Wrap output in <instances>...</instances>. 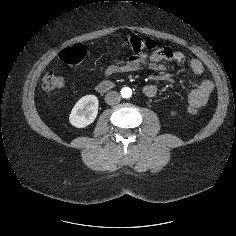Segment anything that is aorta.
<instances>
[{"instance_id":"1","label":"aorta","mask_w":236,"mask_h":236,"mask_svg":"<svg viewBox=\"0 0 236 236\" xmlns=\"http://www.w3.org/2000/svg\"><path fill=\"white\" fill-rule=\"evenodd\" d=\"M132 95V90L129 87H124L121 89V96L123 98H130Z\"/></svg>"}]
</instances>
